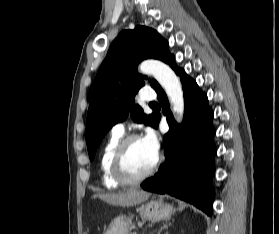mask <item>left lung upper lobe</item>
Instances as JSON below:
<instances>
[{
    "mask_svg": "<svg viewBox=\"0 0 279 234\" xmlns=\"http://www.w3.org/2000/svg\"><path fill=\"white\" fill-rule=\"evenodd\" d=\"M172 56L168 42L144 26L124 30L112 42L90 89L85 136L91 160L104 135L130 111L133 121L157 127L158 114L146 115L139 105H133L134 96L147 79L138 74L137 65L148 58L167 63ZM151 86L155 89L159 84L152 80Z\"/></svg>",
    "mask_w": 279,
    "mask_h": 234,
    "instance_id": "5c2ea615",
    "label": "left lung upper lobe"
}]
</instances>
